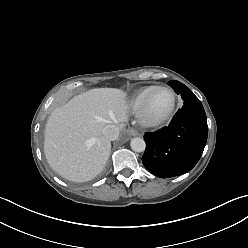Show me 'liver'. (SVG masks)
I'll return each mask as SVG.
<instances>
[{
  "instance_id": "obj_1",
  "label": "liver",
  "mask_w": 248,
  "mask_h": 248,
  "mask_svg": "<svg viewBox=\"0 0 248 248\" xmlns=\"http://www.w3.org/2000/svg\"><path fill=\"white\" fill-rule=\"evenodd\" d=\"M127 120V94L120 89L96 88L73 97L46 123L44 153L49 165L68 180H91L110 155L104 128L116 124L121 129Z\"/></svg>"
}]
</instances>
